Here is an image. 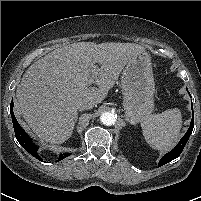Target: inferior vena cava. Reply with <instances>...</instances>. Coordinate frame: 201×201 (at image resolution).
Returning <instances> with one entry per match:
<instances>
[{"instance_id": "602c4592", "label": "inferior vena cava", "mask_w": 201, "mask_h": 201, "mask_svg": "<svg viewBox=\"0 0 201 201\" xmlns=\"http://www.w3.org/2000/svg\"><path fill=\"white\" fill-rule=\"evenodd\" d=\"M94 105L95 103L91 100H82L78 103V109L80 110L92 109Z\"/></svg>"}]
</instances>
